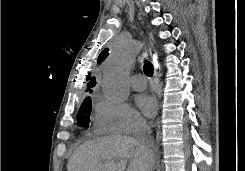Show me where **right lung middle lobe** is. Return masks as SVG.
<instances>
[{"label": "right lung middle lobe", "instance_id": "1", "mask_svg": "<svg viewBox=\"0 0 245 171\" xmlns=\"http://www.w3.org/2000/svg\"><path fill=\"white\" fill-rule=\"evenodd\" d=\"M92 108V102L90 97L84 99L81 107L79 108V112L77 114L78 123L80 126L86 127L90 120V113Z\"/></svg>", "mask_w": 245, "mask_h": 171}]
</instances>
